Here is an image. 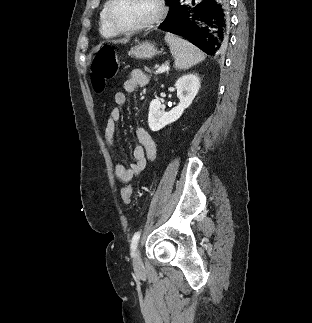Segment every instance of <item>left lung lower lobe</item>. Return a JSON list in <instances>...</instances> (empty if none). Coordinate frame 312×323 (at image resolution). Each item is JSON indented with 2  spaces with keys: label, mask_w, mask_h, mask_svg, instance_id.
I'll return each mask as SVG.
<instances>
[{
  "label": "left lung lower lobe",
  "mask_w": 312,
  "mask_h": 323,
  "mask_svg": "<svg viewBox=\"0 0 312 323\" xmlns=\"http://www.w3.org/2000/svg\"><path fill=\"white\" fill-rule=\"evenodd\" d=\"M180 0L173 17L159 28L181 36L206 54L221 56L229 47V18L226 0Z\"/></svg>",
  "instance_id": "1"
}]
</instances>
